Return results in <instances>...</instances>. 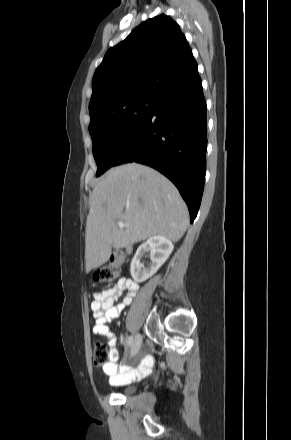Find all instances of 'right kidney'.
I'll use <instances>...</instances> for the list:
<instances>
[{
    "label": "right kidney",
    "mask_w": 291,
    "mask_h": 440,
    "mask_svg": "<svg viewBox=\"0 0 291 440\" xmlns=\"http://www.w3.org/2000/svg\"><path fill=\"white\" fill-rule=\"evenodd\" d=\"M172 242L164 236H152L137 249L130 266L131 276L136 282H144L164 264L173 251ZM150 252V262L145 266L142 257Z\"/></svg>",
    "instance_id": "obj_1"
}]
</instances>
